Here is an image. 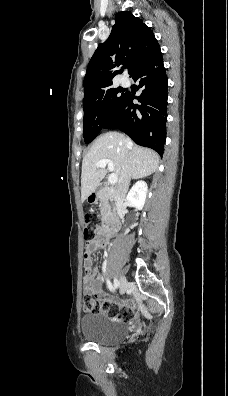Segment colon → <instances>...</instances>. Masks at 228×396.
Segmentation results:
<instances>
[{
	"label": "colon",
	"mask_w": 228,
	"mask_h": 396,
	"mask_svg": "<svg viewBox=\"0 0 228 396\" xmlns=\"http://www.w3.org/2000/svg\"><path fill=\"white\" fill-rule=\"evenodd\" d=\"M84 239L86 245L94 237L98 230L99 218L96 215H88L85 218ZM86 250V249H85ZM84 252V260H87ZM84 309L89 313H103L111 318H119L122 320H131L133 317V310L125 304H117L115 302L104 301L100 302L86 294L84 297Z\"/></svg>",
	"instance_id": "5ec220e1"
}]
</instances>
